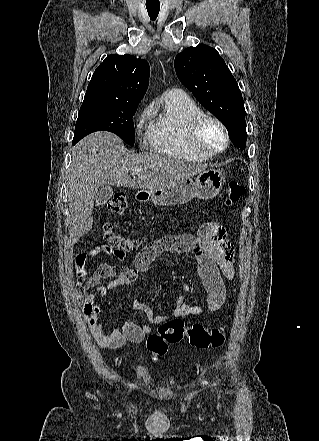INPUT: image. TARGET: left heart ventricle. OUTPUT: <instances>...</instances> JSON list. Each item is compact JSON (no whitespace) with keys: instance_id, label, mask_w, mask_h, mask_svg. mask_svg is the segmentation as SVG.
<instances>
[{"instance_id":"obj_1","label":"left heart ventricle","mask_w":319,"mask_h":441,"mask_svg":"<svg viewBox=\"0 0 319 441\" xmlns=\"http://www.w3.org/2000/svg\"><path fill=\"white\" fill-rule=\"evenodd\" d=\"M202 142L211 149H219L223 145V134L214 124H208L202 132Z\"/></svg>"}]
</instances>
